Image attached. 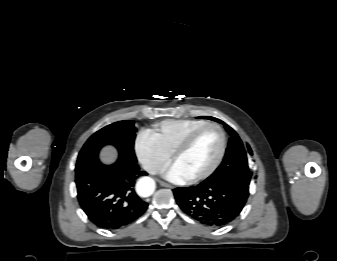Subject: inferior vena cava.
Segmentation results:
<instances>
[{
	"label": "inferior vena cava",
	"instance_id": "obj_1",
	"mask_svg": "<svg viewBox=\"0 0 337 261\" xmlns=\"http://www.w3.org/2000/svg\"><path fill=\"white\" fill-rule=\"evenodd\" d=\"M144 169L149 172L150 174H156L158 173V171L161 169L160 165H156V164H145L144 165Z\"/></svg>",
	"mask_w": 337,
	"mask_h": 261
}]
</instances>
